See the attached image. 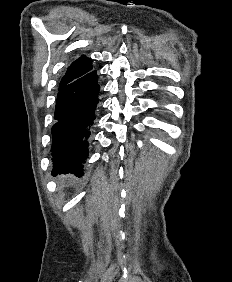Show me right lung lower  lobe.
Instances as JSON below:
<instances>
[{
    "mask_svg": "<svg viewBox=\"0 0 232 282\" xmlns=\"http://www.w3.org/2000/svg\"><path fill=\"white\" fill-rule=\"evenodd\" d=\"M99 90L96 70L59 86L52 127L53 176L83 175Z\"/></svg>",
    "mask_w": 232,
    "mask_h": 282,
    "instance_id": "obj_1",
    "label": "right lung lower lobe"
}]
</instances>
